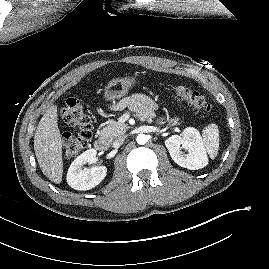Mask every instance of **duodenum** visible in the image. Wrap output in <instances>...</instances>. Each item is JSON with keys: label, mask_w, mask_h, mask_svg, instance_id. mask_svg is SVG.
Masks as SVG:
<instances>
[{"label": "duodenum", "mask_w": 269, "mask_h": 269, "mask_svg": "<svg viewBox=\"0 0 269 269\" xmlns=\"http://www.w3.org/2000/svg\"><path fill=\"white\" fill-rule=\"evenodd\" d=\"M94 147L100 152L107 151L109 148L108 140L105 137H98L94 142Z\"/></svg>", "instance_id": "obj_1"}]
</instances>
